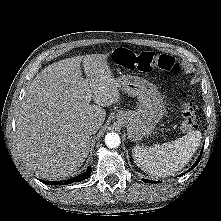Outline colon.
Wrapping results in <instances>:
<instances>
[{
  "instance_id": "colon-1",
  "label": "colon",
  "mask_w": 221,
  "mask_h": 221,
  "mask_svg": "<svg viewBox=\"0 0 221 221\" xmlns=\"http://www.w3.org/2000/svg\"><path fill=\"white\" fill-rule=\"evenodd\" d=\"M114 61L131 70L141 72H151L153 70L170 71L178 73L179 67L173 57L166 54H156L154 52H135L126 48H118L113 53ZM182 129L185 131L193 130L197 125V117L193 103L188 96H183L181 105Z\"/></svg>"
}]
</instances>
